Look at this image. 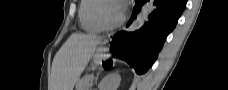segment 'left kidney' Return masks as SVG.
Returning <instances> with one entry per match:
<instances>
[{"mask_svg":"<svg viewBox=\"0 0 228 90\" xmlns=\"http://www.w3.org/2000/svg\"><path fill=\"white\" fill-rule=\"evenodd\" d=\"M121 82L118 73L105 76L98 85L99 90H117Z\"/></svg>","mask_w":228,"mask_h":90,"instance_id":"obj_1","label":"left kidney"}]
</instances>
